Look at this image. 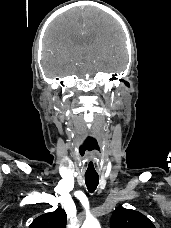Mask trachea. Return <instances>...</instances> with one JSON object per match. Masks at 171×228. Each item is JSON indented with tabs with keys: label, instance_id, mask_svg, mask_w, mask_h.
Returning <instances> with one entry per match:
<instances>
[{
	"label": "trachea",
	"instance_id": "obj_1",
	"mask_svg": "<svg viewBox=\"0 0 171 228\" xmlns=\"http://www.w3.org/2000/svg\"><path fill=\"white\" fill-rule=\"evenodd\" d=\"M85 182L88 191L93 193L99 184V176L85 175Z\"/></svg>",
	"mask_w": 171,
	"mask_h": 228
}]
</instances>
